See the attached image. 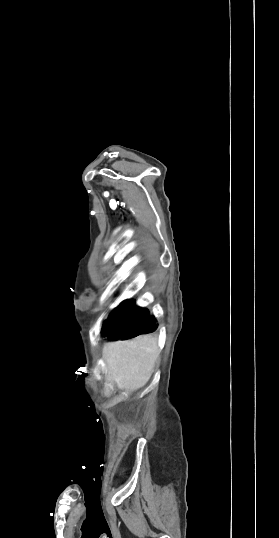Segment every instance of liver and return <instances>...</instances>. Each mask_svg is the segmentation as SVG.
<instances>
[{"mask_svg":"<svg viewBox=\"0 0 279 538\" xmlns=\"http://www.w3.org/2000/svg\"><path fill=\"white\" fill-rule=\"evenodd\" d=\"M108 380L119 390L136 392L149 382L158 358L157 338L137 336L125 342H110L103 346Z\"/></svg>","mask_w":279,"mask_h":538,"instance_id":"liver-1","label":"liver"}]
</instances>
